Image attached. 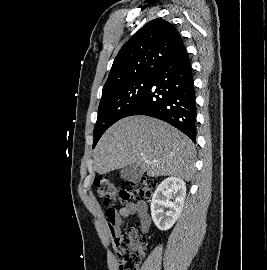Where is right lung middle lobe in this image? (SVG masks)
<instances>
[{
    "instance_id": "obj_1",
    "label": "right lung middle lobe",
    "mask_w": 267,
    "mask_h": 270,
    "mask_svg": "<svg viewBox=\"0 0 267 270\" xmlns=\"http://www.w3.org/2000/svg\"><path fill=\"white\" fill-rule=\"evenodd\" d=\"M152 81V76L140 77L102 91L98 118L94 128L93 148L102 134L142 99Z\"/></svg>"
}]
</instances>
